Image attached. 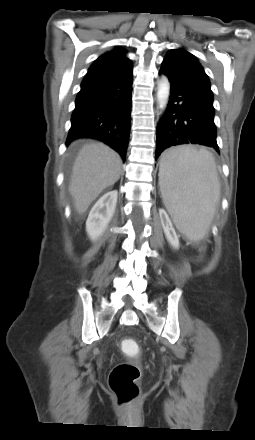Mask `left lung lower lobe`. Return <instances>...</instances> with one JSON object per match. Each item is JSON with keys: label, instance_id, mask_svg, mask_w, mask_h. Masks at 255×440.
<instances>
[{"label": "left lung lower lobe", "instance_id": "1", "mask_svg": "<svg viewBox=\"0 0 255 440\" xmlns=\"http://www.w3.org/2000/svg\"><path fill=\"white\" fill-rule=\"evenodd\" d=\"M168 76L171 90L165 116L157 127L156 159L171 146L200 144L213 147L218 153L213 101L191 92Z\"/></svg>", "mask_w": 255, "mask_h": 440}]
</instances>
